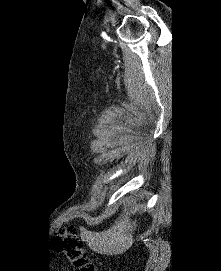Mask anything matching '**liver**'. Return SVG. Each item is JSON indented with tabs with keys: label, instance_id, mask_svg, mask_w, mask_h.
<instances>
[{
	"label": "liver",
	"instance_id": "6515ba94",
	"mask_svg": "<svg viewBox=\"0 0 221 271\" xmlns=\"http://www.w3.org/2000/svg\"><path fill=\"white\" fill-rule=\"evenodd\" d=\"M131 207L124 203L121 215L117 217L113 225L104 231H87L82 229L81 239L87 241L90 249L97 253H124L134 243L132 231L137 227V221L129 217Z\"/></svg>",
	"mask_w": 221,
	"mask_h": 271
}]
</instances>
